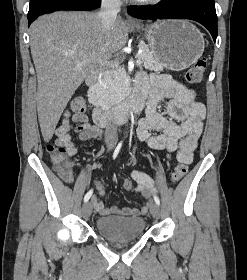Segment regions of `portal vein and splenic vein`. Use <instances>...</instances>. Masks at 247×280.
<instances>
[{
    "label": "portal vein and splenic vein",
    "mask_w": 247,
    "mask_h": 280,
    "mask_svg": "<svg viewBox=\"0 0 247 280\" xmlns=\"http://www.w3.org/2000/svg\"><path fill=\"white\" fill-rule=\"evenodd\" d=\"M141 53V52H140ZM138 56V55H137ZM86 62V61H85ZM99 64H101V65H107V61H105V62H100ZM136 64H141V60L140 59H137L136 60ZM112 66H118L116 63H112L111 64Z\"/></svg>",
    "instance_id": "obj_1"
}]
</instances>
